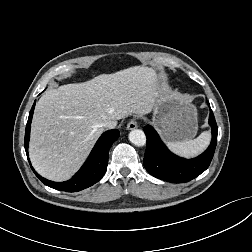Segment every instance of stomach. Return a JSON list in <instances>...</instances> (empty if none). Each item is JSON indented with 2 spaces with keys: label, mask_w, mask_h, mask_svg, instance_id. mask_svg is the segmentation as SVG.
Masks as SVG:
<instances>
[{
  "label": "stomach",
  "mask_w": 252,
  "mask_h": 252,
  "mask_svg": "<svg viewBox=\"0 0 252 252\" xmlns=\"http://www.w3.org/2000/svg\"><path fill=\"white\" fill-rule=\"evenodd\" d=\"M158 99L154 106L152 123L167 142L186 141L197 133V109L183 97L165 90L162 78L154 77Z\"/></svg>",
  "instance_id": "stomach-1"
}]
</instances>
